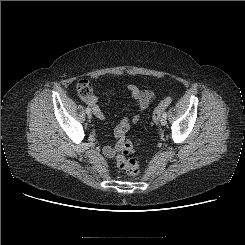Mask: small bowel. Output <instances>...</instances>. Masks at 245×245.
Wrapping results in <instances>:
<instances>
[{"label": "small bowel", "mask_w": 245, "mask_h": 245, "mask_svg": "<svg viewBox=\"0 0 245 245\" xmlns=\"http://www.w3.org/2000/svg\"><path fill=\"white\" fill-rule=\"evenodd\" d=\"M126 89L131 93L132 97L136 101L135 113L131 119L124 117L120 125L117 127L115 131V136L118 138V142L115 146H105L103 149V153L106 157H113L116 152L119 150V145L121 141L124 139V136L120 133V131H125L132 125L137 123L140 120L141 115L147 110L150 104L155 99L156 95L151 90H140L136 85L128 84ZM87 104H89L92 108V111L96 117L103 120L105 118L103 112L97 104V97L92 95L90 98L86 100Z\"/></svg>", "instance_id": "1"}]
</instances>
